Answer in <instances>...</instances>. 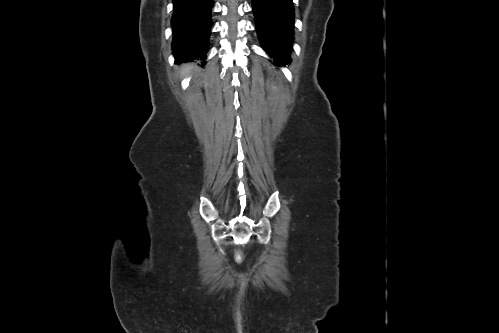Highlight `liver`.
I'll return each instance as SVG.
<instances>
[{"label":"liver","instance_id":"liver-1","mask_svg":"<svg viewBox=\"0 0 499 333\" xmlns=\"http://www.w3.org/2000/svg\"><path fill=\"white\" fill-rule=\"evenodd\" d=\"M190 69H191L190 65L186 66V71H189Z\"/></svg>","mask_w":499,"mask_h":333}]
</instances>
